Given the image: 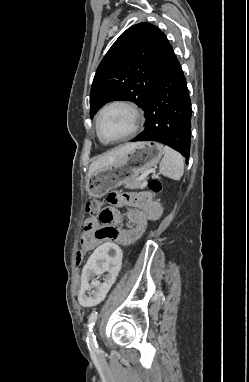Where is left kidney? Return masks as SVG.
<instances>
[{
	"label": "left kidney",
	"instance_id": "obj_1",
	"mask_svg": "<svg viewBox=\"0 0 249 382\" xmlns=\"http://www.w3.org/2000/svg\"><path fill=\"white\" fill-rule=\"evenodd\" d=\"M102 244L95 246L80 273L75 300L80 302L83 309L101 307L107 289L112 288L115 277H119L122 270L121 245H112L111 240H105Z\"/></svg>",
	"mask_w": 249,
	"mask_h": 382
}]
</instances>
